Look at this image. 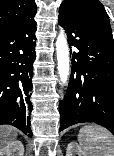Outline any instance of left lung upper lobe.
I'll use <instances>...</instances> for the list:
<instances>
[{
	"label": "left lung upper lobe",
	"instance_id": "5c2ea615",
	"mask_svg": "<svg viewBox=\"0 0 114 156\" xmlns=\"http://www.w3.org/2000/svg\"><path fill=\"white\" fill-rule=\"evenodd\" d=\"M67 5L77 9L82 14L88 16L94 22L99 23L111 32L108 15L103 5L98 0H65L61 5Z\"/></svg>",
	"mask_w": 114,
	"mask_h": 156
}]
</instances>
